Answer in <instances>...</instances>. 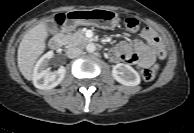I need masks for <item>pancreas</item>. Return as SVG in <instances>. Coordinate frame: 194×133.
Returning <instances> with one entry per match:
<instances>
[{
	"instance_id": "pancreas-1",
	"label": "pancreas",
	"mask_w": 194,
	"mask_h": 133,
	"mask_svg": "<svg viewBox=\"0 0 194 133\" xmlns=\"http://www.w3.org/2000/svg\"><path fill=\"white\" fill-rule=\"evenodd\" d=\"M65 44L69 47L83 45L89 41V39L84 35L82 30H77L75 32L67 33L63 35Z\"/></svg>"
}]
</instances>
